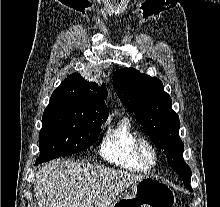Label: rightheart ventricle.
Returning <instances> with one entry per match:
<instances>
[{"label": "right heart ventricle", "mask_w": 220, "mask_h": 207, "mask_svg": "<svg viewBox=\"0 0 220 207\" xmlns=\"http://www.w3.org/2000/svg\"><path fill=\"white\" fill-rule=\"evenodd\" d=\"M137 133L131 122L124 118L111 127L100 144V155L111 164L133 171L147 169L137 158L134 150Z\"/></svg>", "instance_id": "right-heart-ventricle-1"}]
</instances>
